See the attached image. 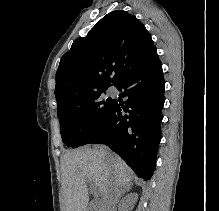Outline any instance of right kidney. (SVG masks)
I'll return each instance as SVG.
<instances>
[{"instance_id":"obj_1","label":"right kidney","mask_w":219,"mask_h":211,"mask_svg":"<svg viewBox=\"0 0 219 211\" xmlns=\"http://www.w3.org/2000/svg\"><path fill=\"white\" fill-rule=\"evenodd\" d=\"M131 195H134L135 199H132V197H131V199H129L128 205H132V203H135V201L137 199V193H131Z\"/></svg>"}]
</instances>
